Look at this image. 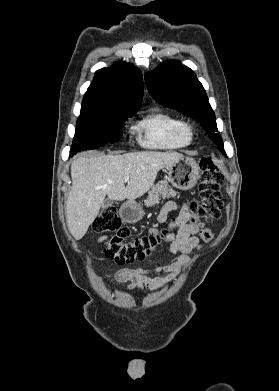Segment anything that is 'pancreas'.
Segmentation results:
<instances>
[{
  "instance_id": "obj_1",
  "label": "pancreas",
  "mask_w": 279,
  "mask_h": 391,
  "mask_svg": "<svg viewBox=\"0 0 279 391\" xmlns=\"http://www.w3.org/2000/svg\"><path fill=\"white\" fill-rule=\"evenodd\" d=\"M177 192L173 190L166 181H161L154 185L148 193V197L145 200L147 206H154L158 204L162 199L174 198Z\"/></svg>"
}]
</instances>
